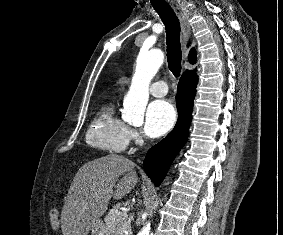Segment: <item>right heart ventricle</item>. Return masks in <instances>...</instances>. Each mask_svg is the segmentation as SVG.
Returning a JSON list of instances; mask_svg holds the SVG:
<instances>
[{"instance_id":"obj_1","label":"right heart ventricle","mask_w":283,"mask_h":235,"mask_svg":"<svg viewBox=\"0 0 283 235\" xmlns=\"http://www.w3.org/2000/svg\"><path fill=\"white\" fill-rule=\"evenodd\" d=\"M86 142L106 153H121L126 149L128 126L118 116L114 102L99 109L87 131Z\"/></svg>"}]
</instances>
